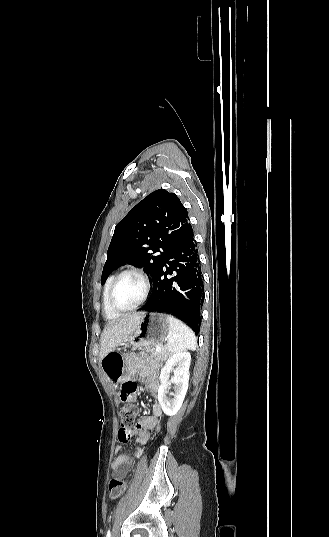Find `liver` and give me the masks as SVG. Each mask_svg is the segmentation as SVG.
I'll use <instances>...</instances> for the list:
<instances>
[{"label": "liver", "instance_id": "obj_1", "mask_svg": "<svg viewBox=\"0 0 329 537\" xmlns=\"http://www.w3.org/2000/svg\"><path fill=\"white\" fill-rule=\"evenodd\" d=\"M143 314L137 313L130 315L117 322L110 323L105 327L100 340L101 350L99 360L103 359L107 353L128 340L139 324Z\"/></svg>", "mask_w": 329, "mask_h": 537}]
</instances>
